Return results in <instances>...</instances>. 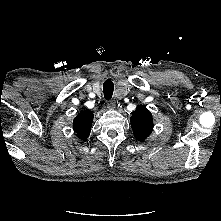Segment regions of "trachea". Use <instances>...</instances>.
Instances as JSON below:
<instances>
[{"label": "trachea", "instance_id": "3493384b", "mask_svg": "<svg viewBox=\"0 0 221 221\" xmlns=\"http://www.w3.org/2000/svg\"><path fill=\"white\" fill-rule=\"evenodd\" d=\"M113 90H114L113 82L110 79H107L103 83V93L105 99L109 100L110 98H112Z\"/></svg>", "mask_w": 221, "mask_h": 221}]
</instances>
